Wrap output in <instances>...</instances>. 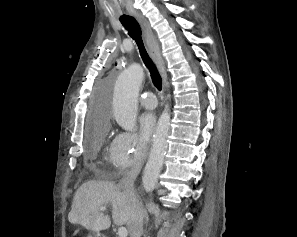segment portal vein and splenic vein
<instances>
[{
    "instance_id": "18ae733b",
    "label": "portal vein and splenic vein",
    "mask_w": 297,
    "mask_h": 237,
    "mask_svg": "<svg viewBox=\"0 0 297 237\" xmlns=\"http://www.w3.org/2000/svg\"><path fill=\"white\" fill-rule=\"evenodd\" d=\"M106 210H107L106 207H101L100 208V211H106ZM127 235H128V231H127V229L125 227H120L118 229V236L119 237H127Z\"/></svg>"
}]
</instances>
